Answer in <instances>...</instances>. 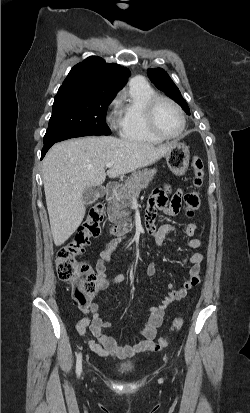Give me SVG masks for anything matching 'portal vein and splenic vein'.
Returning <instances> with one entry per match:
<instances>
[{
	"label": "portal vein and splenic vein",
	"instance_id": "portal-vein-and-splenic-vein-1",
	"mask_svg": "<svg viewBox=\"0 0 250 413\" xmlns=\"http://www.w3.org/2000/svg\"><path fill=\"white\" fill-rule=\"evenodd\" d=\"M113 166V162H108L107 164H106V167L107 168H111Z\"/></svg>",
	"mask_w": 250,
	"mask_h": 413
}]
</instances>
